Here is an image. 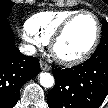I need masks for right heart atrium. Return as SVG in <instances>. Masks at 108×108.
I'll list each match as a JSON object with an SVG mask.
<instances>
[{
  "label": "right heart atrium",
  "mask_w": 108,
  "mask_h": 108,
  "mask_svg": "<svg viewBox=\"0 0 108 108\" xmlns=\"http://www.w3.org/2000/svg\"><path fill=\"white\" fill-rule=\"evenodd\" d=\"M22 38L25 42H27L29 45H31L34 48L41 47L43 45V42L40 41L37 37H35L28 29L25 27L22 30Z\"/></svg>",
  "instance_id": "obj_1"
}]
</instances>
